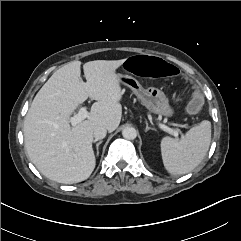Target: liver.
Instances as JSON below:
<instances>
[{"label": "liver", "instance_id": "obj_1", "mask_svg": "<svg viewBox=\"0 0 241 241\" xmlns=\"http://www.w3.org/2000/svg\"><path fill=\"white\" fill-rule=\"evenodd\" d=\"M125 59L72 61L53 73L35 96L24 120L28 156L47 178L73 184L87 179L96 164L92 148L98 126L113 132L122 117V89L116 69ZM96 100L89 117L71 127L70 115L87 98Z\"/></svg>", "mask_w": 241, "mask_h": 241}]
</instances>
